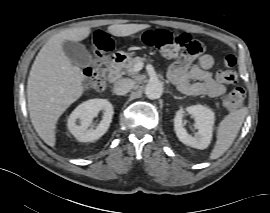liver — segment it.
I'll use <instances>...</instances> for the list:
<instances>
[{"label":"liver","instance_id":"liver-1","mask_svg":"<svg viewBox=\"0 0 270 213\" xmlns=\"http://www.w3.org/2000/svg\"><path fill=\"white\" fill-rule=\"evenodd\" d=\"M149 27L147 24H116L109 26L108 32L125 37ZM90 33L89 27H80L53 35L41 48L30 70L27 83L30 119L37 134L50 147L56 143L58 119L84 92L83 73L65 55L62 43L82 41Z\"/></svg>","mask_w":270,"mask_h":213}]
</instances>
